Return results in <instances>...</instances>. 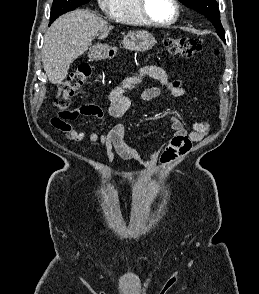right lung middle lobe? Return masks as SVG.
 Here are the masks:
<instances>
[{"label":"right lung middle lobe","mask_w":259,"mask_h":294,"mask_svg":"<svg viewBox=\"0 0 259 294\" xmlns=\"http://www.w3.org/2000/svg\"><path fill=\"white\" fill-rule=\"evenodd\" d=\"M90 0H53L50 15V23H52L60 15L76 9L78 6L88 3Z\"/></svg>","instance_id":"right-lung-middle-lobe-1"}]
</instances>
